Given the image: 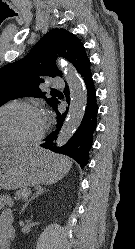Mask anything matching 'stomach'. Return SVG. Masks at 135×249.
<instances>
[{
	"instance_id": "stomach-1",
	"label": "stomach",
	"mask_w": 135,
	"mask_h": 249,
	"mask_svg": "<svg viewBox=\"0 0 135 249\" xmlns=\"http://www.w3.org/2000/svg\"><path fill=\"white\" fill-rule=\"evenodd\" d=\"M71 162L37 147L0 148V189L14 190L30 185L51 184L63 178Z\"/></svg>"
}]
</instances>
